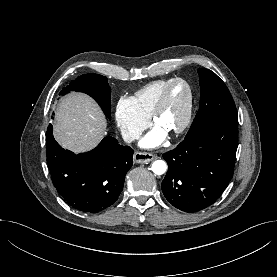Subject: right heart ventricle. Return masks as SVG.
Returning <instances> with one entry per match:
<instances>
[{
  "instance_id": "obj_1",
  "label": "right heart ventricle",
  "mask_w": 277,
  "mask_h": 277,
  "mask_svg": "<svg viewBox=\"0 0 277 277\" xmlns=\"http://www.w3.org/2000/svg\"><path fill=\"white\" fill-rule=\"evenodd\" d=\"M171 80L172 79L155 80L135 92L131 98L141 114L146 117L151 116L161 91Z\"/></svg>"
}]
</instances>
